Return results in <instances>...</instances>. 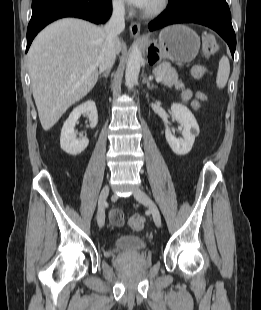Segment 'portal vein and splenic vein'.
<instances>
[{"label": "portal vein and splenic vein", "instance_id": "18ae733b", "mask_svg": "<svg viewBox=\"0 0 261 310\" xmlns=\"http://www.w3.org/2000/svg\"><path fill=\"white\" fill-rule=\"evenodd\" d=\"M156 81L157 82H161L162 81V77H156Z\"/></svg>", "mask_w": 261, "mask_h": 310}]
</instances>
